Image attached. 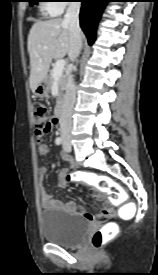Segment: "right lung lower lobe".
Wrapping results in <instances>:
<instances>
[{
  "label": "right lung lower lobe",
  "instance_id": "98d812e1",
  "mask_svg": "<svg viewBox=\"0 0 158 275\" xmlns=\"http://www.w3.org/2000/svg\"><path fill=\"white\" fill-rule=\"evenodd\" d=\"M82 7L80 11V26L88 43L92 45L96 39L97 25L104 7L109 0H80Z\"/></svg>",
  "mask_w": 158,
  "mask_h": 275
}]
</instances>
